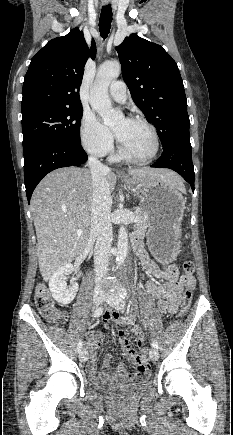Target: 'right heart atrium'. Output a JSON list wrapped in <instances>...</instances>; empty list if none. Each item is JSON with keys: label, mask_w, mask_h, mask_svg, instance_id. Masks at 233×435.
<instances>
[{"label": "right heart atrium", "mask_w": 233, "mask_h": 435, "mask_svg": "<svg viewBox=\"0 0 233 435\" xmlns=\"http://www.w3.org/2000/svg\"><path fill=\"white\" fill-rule=\"evenodd\" d=\"M79 136L85 151L93 156H104L113 149L111 131L92 113L83 115Z\"/></svg>", "instance_id": "obj_1"}]
</instances>
